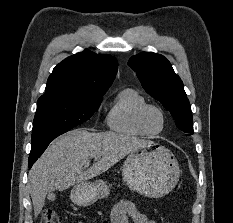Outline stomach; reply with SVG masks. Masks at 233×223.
I'll use <instances>...</instances> for the list:
<instances>
[{
	"label": "stomach",
	"instance_id": "1",
	"mask_svg": "<svg viewBox=\"0 0 233 223\" xmlns=\"http://www.w3.org/2000/svg\"><path fill=\"white\" fill-rule=\"evenodd\" d=\"M181 169L173 153L164 145L144 141L128 153L122 165V179L129 189L144 197H162L171 191ZM110 187L104 179L83 181L71 189L70 199L76 205H92L101 197H109Z\"/></svg>",
	"mask_w": 233,
	"mask_h": 223
}]
</instances>
